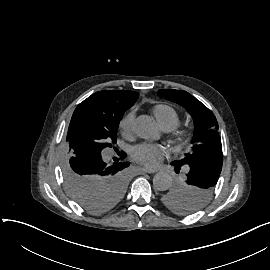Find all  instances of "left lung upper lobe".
<instances>
[{
	"instance_id": "5c2ea615",
	"label": "left lung upper lobe",
	"mask_w": 270,
	"mask_h": 270,
	"mask_svg": "<svg viewBox=\"0 0 270 270\" xmlns=\"http://www.w3.org/2000/svg\"><path fill=\"white\" fill-rule=\"evenodd\" d=\"M158 95L185 107L195 122L192 152L185 154L184 159L171 163L176 173L185 166L186 177L162 191L161 195L167 209L181 215H191L207 204L220 176L223 156L221 138L215 130L218 123L203 103L184 90L161 89Z\"/></svg>"
}]
</instances>
